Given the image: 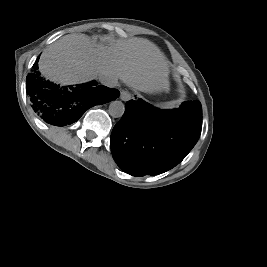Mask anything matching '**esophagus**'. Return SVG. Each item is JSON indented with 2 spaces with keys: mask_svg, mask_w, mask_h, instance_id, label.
Instances as JSON below:
<instances>
[{
  "mask_svg": "<svg viewBox=\"0 0 267 267\" xmlns=\"http://www.w3.org/2000/svg\"><path fill=\"white\" fill-rule=\"evenodd\" d=\"M131 97H132V95H131V93L129 91H127V90H122L121 91L120 99L122 101H128V100L131 99Z\"/></svg>",
  "mask_w": 267,
  "mask_h": 267,
  "instance_id": "34e87169",
  "label": "esophagus"
}]
</instances>
